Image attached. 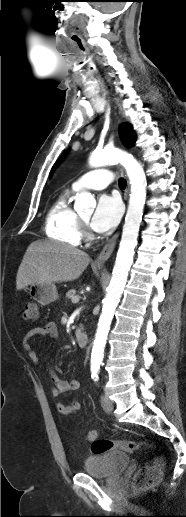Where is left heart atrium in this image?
<instances>
[{
  "mask_svg": "<svg viewBox=\"0 0 186 517\" xmlns=\"http://www.w3.org/2000/svg\"><path fill=\"white\" fill-rule=\"evenodd\" d=\"M121 215L120 199L114 195H102L92 216L91 225L97 232H107L118 224Z\"/></svg>",
  "mask_w": 186,
  "mask_h": 517,
  "instance_id": "left-heart-atrium-1",
  "label": "left heart atrium"
}]
</instances>
